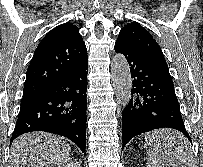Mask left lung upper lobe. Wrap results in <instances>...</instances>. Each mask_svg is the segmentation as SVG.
I'll list each match as a JSON object with an SVG mask.
<instances>
[{"instance_id": "5c2ea615", "label": "left lung upper lobe", "mask_w": 203, "mask_h": 167, "mask_svg": "<svg viewBox=\"0 0 203 167\" xmlns=\"http://www.w3.org/2000/svg\"><path fill=\"white\" fill-rule=\"evenodd\" d=\"M116 42L153 61L167 65L156 40L145 28L137 23L125 25L120 31Z\"/></svg>"}]
</instances>
